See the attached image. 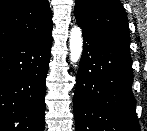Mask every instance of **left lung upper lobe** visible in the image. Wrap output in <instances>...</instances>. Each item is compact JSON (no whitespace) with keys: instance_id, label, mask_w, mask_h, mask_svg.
<instances>
[{"instance_id":"1","label":"left lung upper lobe","mask_w":147,"mask_h":131,"mask_svg":"<svg viewBox=\"0 0 147 131\" xmlns=\"http://www.w3.org/2000/svg\"><path fill=\"white\" fill-rule=\"evenodd\" d=\"M74 14L82 30L129 50L128 19L119 0H76Z\"/></svg>"}]
</instances>
